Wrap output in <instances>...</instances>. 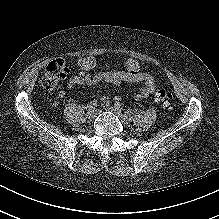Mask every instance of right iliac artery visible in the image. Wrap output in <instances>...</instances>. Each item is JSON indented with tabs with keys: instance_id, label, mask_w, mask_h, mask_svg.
I'll use <instances>...</instances> for the list:
<instances>
[{
	"instance_id": "82829eb1",
	"label": "right iliac artery",
	"mask_w": 219,
	"mask_h": 219,
	"mask_svg": "<svg viewBox=\"0 0 219 219\" xmlns=\"http://www.w3.org/2000/svg\"><path fill=\"white\" fill-rule=\"evenodd\" d=\"M96 107H97V101H96V100L91 101V102L88 104V106H87V108H88L89 110H94Z\"/></svg>"
}]
</instances>
